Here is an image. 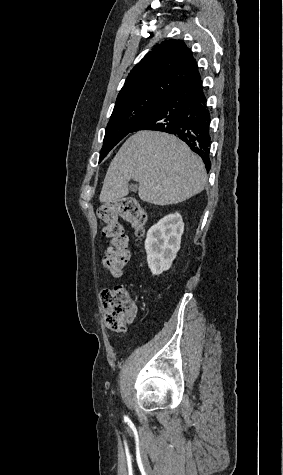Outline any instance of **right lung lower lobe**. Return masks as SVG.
Masks as SVG:
<instances>
[{"mask_svg":"<svg viewBox=\"0 0 283 475\" xmlns=\"http://www.w3.org/2000/svg\"><path fill=\"white\" fill-rule=\"evenodd\" d=\"M210 120L202 81L197 78L176 87L131 132L155 130L173 134L185 141L209 170Z\"/></svg>","mask_w":283,"mask_h":475,"instance_id":"right-lung-lower-lobe-1","label":"right lung lower lobe"}]
</instances>
